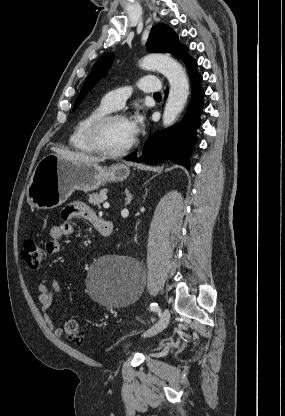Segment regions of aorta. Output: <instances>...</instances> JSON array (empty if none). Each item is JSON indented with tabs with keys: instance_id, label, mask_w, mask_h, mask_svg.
<instances>
[{
	"instance_id": "aorta-1",
	"label": "aorta",
	"mask_w": 285,
	"mask_h": 416,
	"mask_svg": "<svg viewBox=\"0 0 285 416\" xmlns=\"http://www.w3.org/2000/svg\"><path fill=\"white\" fill-rule=\"evenodd\" d=\"M140 66L157 70L169 81L170 91L163 113V126H171L182 112L189 95V82L182 66L171 57L159 54L145 56Z\"/></svg>"
}]
</instances>
